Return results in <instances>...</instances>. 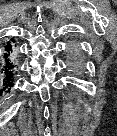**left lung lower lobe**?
<instances>
[{
	"instance_id": "1",
	"label": "left lung lower lobe",
	"mask_w": 117,
	"mask_h": 136,
	"mask_svg": "<svg viewBox=\"0 0 117 136\" xmlns=\"http://www.w3.org/2000/svg\"><path fill=\"white\" fill-rule=\"evenodd\" d=\"M83 57L81 50L77 44H71L68 46L67 51V65L72 69H79L83 66Z\"/></svg>"
}]
</instances>
